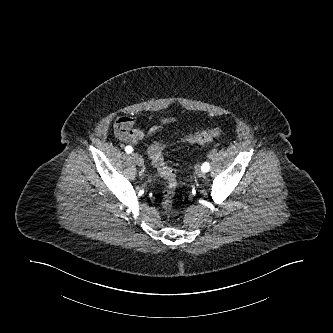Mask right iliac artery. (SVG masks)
I'll return each mask as SVG.
<instances>
[{
    "label": "right iliac artery",
    "mask_w": 333,
    "mask_h": 333,
    "mask_svg": "<svg viewBox=\"0 0 333 333\" xmlns=\"http://www.w3.org/2000/svg\"><path fill=\"white\" fill-rule=\"evenodd\" d=\"M125 151L127 153H132L133 152V148L131 146H126Z\"/></svg>",
    "instance_id": "82829eb1"
}]
</instances>
